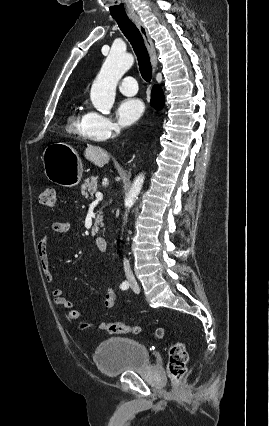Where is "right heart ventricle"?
<instances>
[{"label":"right heart ventricle","instance_id":"1","mask_svg":"<svg viewBox=\"0 0 269 426\" xmlns=\"http://www.w3.org/2000/svg\"><path fill=\"white\" fill-rule=\"evenodd\" d=\"M86 115L81 112H78L71 116L70 118V126L76 131L83 133L85 135V120Z\"/></svg>","mask_w":269,"mask_h":426}]
</instances>
